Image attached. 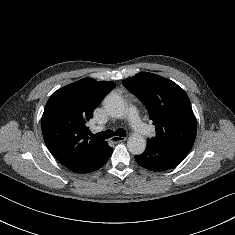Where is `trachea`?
<instances>
[{"label":"trachea","mask_w":235,"mask_h":235,"mask_svg":"<svg viewBox=\"0 0 235 235\" xmlns=\"http://www.w3.org/2000/svg\"><path fill=\"white\" fill-rule=\"evenodd\" d=\"M116 134V136L120 137H126V131L124 129H117L116 132L114 133L112 130H106L104 132H100L97 134H91L92 138L99 139V140H104L113 137Z\"/></svg>","instance_id":"1"}]
</instances>
